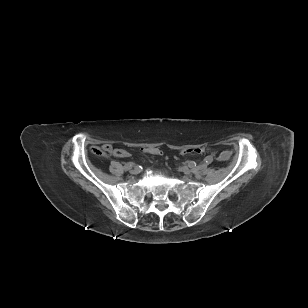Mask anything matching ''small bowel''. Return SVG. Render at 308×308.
I'll list each match as a JSON object with an SVG mask.
<instances>
[{
	"instance_id": "small-bowel-1",
	"label": "small bowel",
	"mask_w": 308,
	"mask_h": 308,
	"mask_svg": "<svg viewBox=\"0 0 308 308\" xmlns=\"http://www.w3.org/2000/svg\"><path fill=\"white\" fill-rule=\"evenodd\" d=\"M108 146V144H104L102 145L101 149H106ZM94 151V150H93ZM229 157V153L227 151H223L220 155H219V159L220 160H226Z\"/></svg>"
}]
</instances>
